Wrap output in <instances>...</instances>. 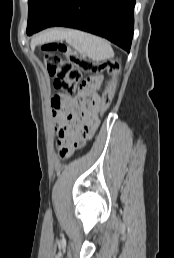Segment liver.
<instances>
[{"label":"liver","instance_id":"1","mask_svg":"<svg viewBox=\"0 0 174 258\" xmlns=\"http://www.w3.org/2000/svg\"><path fill=\"white\" fill-rule=\"evenodd\" d=\"M52 35H53L52 32H46L44 34H41L38 38H36L35 40L32 41V45H36L37 43H39L41 41L53 39Z\"/></svg>","mask_w":174,"mask_h":258}]
</instances>
